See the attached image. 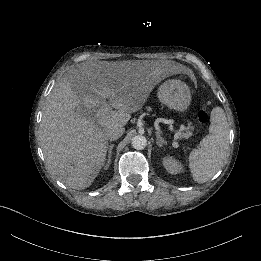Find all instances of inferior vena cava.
Instances as JSON below:
<instances>
[{"label": "inferior vena cava", "instance_id": "obj_1", "mask_svg": "<svg viewBox=\"0 0 261 261\" xmlns=\"http://www.w3.org/2000/svg\"><path fill=\"white\" fill-rule=\"evenodd\" d=\"M125 132L124 127H115L107 132V137L109 140L114 141L119 139Z\"/></svg>", "mask_w": 261, "mask_h": 261}]
</instances>
